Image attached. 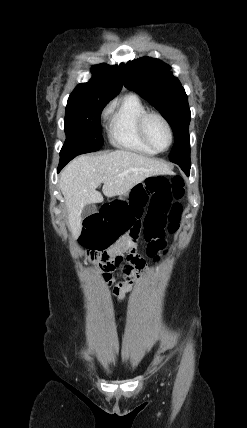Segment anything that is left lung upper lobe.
Masks as SVG:
<instances>
[{"label":"left lung upper lobe","instance_id":"1","mask_svg":"<svg viewBox=\"0 0 247 428\" xmlns=\"http://www.w3.org/2000/svg\"><path fill=\"white\" fill-rule=\"evenodd\" d=\"M170 68L151 57L121 63L119 66L124 86L146 99L170 124L175 137L170 161L190 163L188 128L191 113L185 90Z\"/></svg>","mask_w":247,"mask_h":428}]
</instances>
